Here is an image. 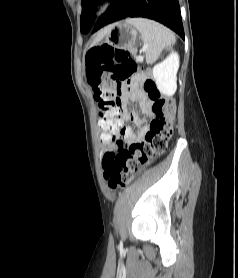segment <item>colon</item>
Returning <instances> with one entry per match:
<instances>
[{"mask_svg": "<svg viewBox=\"0 0 238 278\" xmlns=\"http://www.w3.org/2000/svg\"><path fill=\"white\" fill-rule=\"evenodd\" d=\"M87 81L94 91L100 113V127L105 135H114L121 125V89L125 82L140 79L152 102L154 119L140 143L116 144L106 150L103 168L109 186L127 185L142 166L163 154L173 135L176 105L173 99L157 89L150 70L138 66L127 50L103 44L86 54Z\"/></svg>", "mask_w": 238, "mask_h": 278, "instance_id": "5ec220e1", "label": "colon"}]
</instances>
